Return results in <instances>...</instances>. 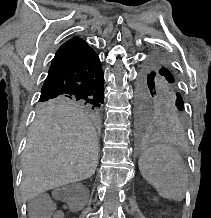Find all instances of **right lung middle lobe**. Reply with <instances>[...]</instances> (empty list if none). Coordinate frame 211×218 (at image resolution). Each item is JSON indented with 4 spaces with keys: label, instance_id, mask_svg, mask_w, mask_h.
Listing matches in <instances>:
<instances>
[{
    "label": "right lung middle lobe",
    "instance_id": "obj_1",
    "mask_svg": "<svg viewBox=\"0 0 211 218\" xmlns=\"http://www.w3.org/2000/svg\"><path fill=\"white\" fill-rule=\"evenodd\" d=\"M64 105H79L86 107L89 111L96 114L100 111L101 104L90 99H80L74 97H49V98H40L39 99V108L40 109H51Z\"/></svg>",
    "mask_w": 211,
    "mask_h": 218
}]
</instances>
